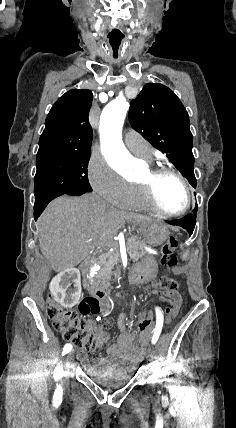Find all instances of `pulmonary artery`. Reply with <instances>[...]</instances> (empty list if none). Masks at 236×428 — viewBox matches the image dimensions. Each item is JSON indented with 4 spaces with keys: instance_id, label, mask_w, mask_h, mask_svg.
Listing matches in <instances>:
<instances>
[{
    "instance_id": "1",
    "label": "pulmonary artery",
    "mask_w": 236,
    "mask_h": 428,
    "mask_svg": "<svg viewBox=\"0 0 236 428\" xmlns=\"http://www.w3.org/2000/svg\"><path fill=\"white\" fill-rule=\"evenodd\" d=\"M127 147L131 152L136 154L137 156H140L144 159H151L152 151L151 148L148 145L140 146L133 142H128Z\"/></svg>"
}]
</instances>
